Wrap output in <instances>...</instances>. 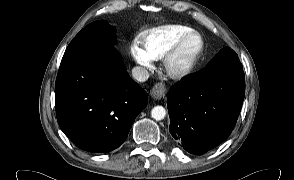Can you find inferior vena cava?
Here are the masks:
<instances>
[{
	"mask_svg": "<svg viewBox=\"0 0 294 180\" xmlns=\"http://www.w3.org/2000/svg\"><path fill=\"white\" fill-rule=\"evenodd\" d=\"M132 76L136 81L145 82L149 78V72L143 67H134L132 69Z\"/></svg>",
	"mask_w": 294,
	"mask_h": 180,
	"instance_id": "602c4592",
	"label": "inferior vena cava"
}]
</instances>
